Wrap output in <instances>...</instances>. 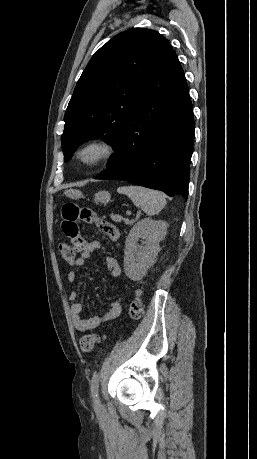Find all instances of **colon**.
<instances>
[{
	"mask_svg": "<svg viewBox=\"0 0 257 459\" xmlns=\"http://www.w3.org/2000/svg\"><path fill=\"white\" fill-rule=\"evenodd\" d=\"M59 251H60L62 259L65 262H68V263L74 262L77 251H71L70 243L68 242L61 243L59 246ZM143 310H144V307H143V303L141 300V293L137 292L129 306L130 318L133 320L139 319L143 315ZM101 339L102 337L98 334H95V333L86 334L80 338V341H79L80 349L85 353H89L93 351V349L101 341Z\"/></svg>",
	"mask_w": 257,
	"mask_h": 459,
	"instance_id": "colon-1",
	"label": "colon"
}]
</instances>
